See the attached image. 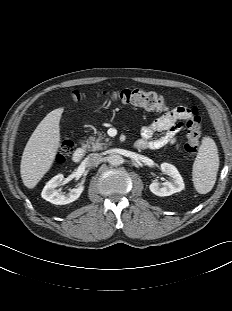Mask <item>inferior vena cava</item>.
<instances>
[{
	"mask_svg": "<svg viewBox=\"0 0 232 311\" xmlns=\"http://www.w3.org/2000/svg\"><path fill=\"white\" fill-rule=\"evenodd\" d=\"M101 161V155L98 153L89 154L86 157V163L88 166H93L99 164Z\"/></svg>",
	"mask_w": 232,
	"mask_h": 311,
	"instance_id": "1",
	"label": "inferior vena cava"
}]
</instances>
